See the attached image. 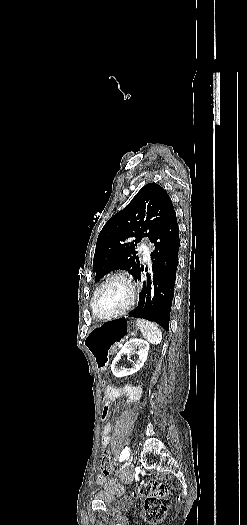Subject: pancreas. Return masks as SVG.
I'll use <instances>...</instances> for the list:
<instances>
[{"mask_svg":"<svg viewBox=\"0 0 247 525\" xmlns=\"http://www.w3.org/2000/svg\"><path fill=\"white\" fill-rule=\"evenodd\" d=\"M116 347H109V353H112V355H115Z\"/></svg>","mask_w":247,"mask_h":525,"instance_id":"1","label":"pancreas"}]
</instances>
